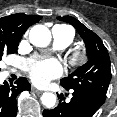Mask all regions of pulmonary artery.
Returning a JSON list of instances; mask_svg holds the SVG:
<instances>
[{"mask_svg":"<svg viewBox=\"0 0 117 117\" xmlns=\"http://www.w3.org/2000/svg\"><path fill=\"white\" fill-rule=\"evenodd\" d=\"M52 34L54 37L55 45L58 48H64L71 43L70 37L68 35L62 34L60 29L57 27H54L52 29Z\"/></svg>","mask_w":117,"mask_h":117,"instance_id":"obj_1","label":"pulmonary artery"}]
</instances>
